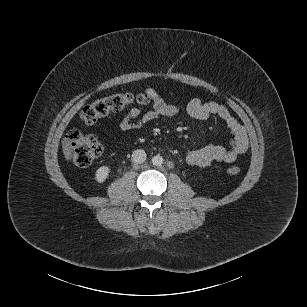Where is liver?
Segmentation results:
<instances>
[{
    "instance_id": "6515ba94",
    "label": "liver",
    "mask_w": 307,
    "mask_h": 307,
    "mask_svg": "<svg viewBox=\"0 0 307 307\" xmlns=\"http://www.w3.org/2000/svg\"><path fill=\"white\" fill-rule=\"evenodd\" d=\"M62 150L66 160H70L72 158L73 148L70 144V141L67 138H63L62 140Z\"/></svg>"
}]
</instances>
